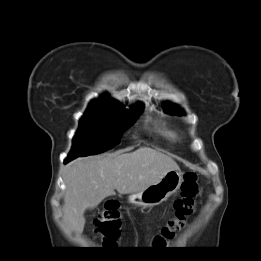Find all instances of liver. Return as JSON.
<instances>
[{"label": "liver", "instance_id": "6515ba94", "mask_svg": "<svg viewBox=\"0 0 261 261\" xmlns=\"http://www.w3.org/2000/svg\"><path fill=\"white\" fill-rule=\"evenodd\" d=\"M179 166L169 156L149 147L130 153L117 152L77 158L65 167L64 221L81 234L86 209L98 206L117 190L134 194L159 182Z\"/></svg>", "mask_w": 261, "mask_h": 261}]
</instances>
